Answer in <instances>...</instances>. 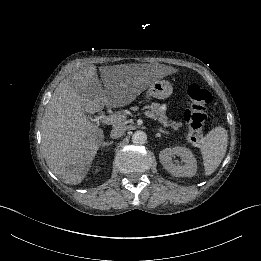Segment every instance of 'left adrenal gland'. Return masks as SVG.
I'll use <instances>...</instances> for the list:
<instances>
[{"label":"left adrenal gland","instance_id":"obj_1","mask_svg":"<svg viewBox=\"0 0 261 261\" xmlns=\"http://www.w3.org/2000/svg\"><path fill=\"white\" fill-rule=\"evenodd\" d=\"M158 130H159V132H161V133L169 134V131H165V130H163V128H159Z\"/></svg>","mask_w":261,"mask_h":261}]
</instances>
